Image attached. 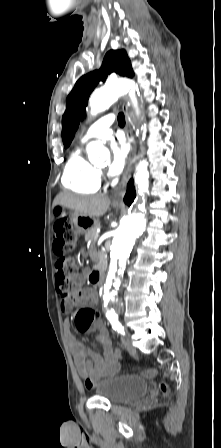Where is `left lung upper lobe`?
Here are the masks:
<instances>
[{"label":"left lung upper lobe","instance_id":"1","mask_svg":"<svg viewBox=\"0 0 221 448\" xmlns=\"http://www.w3.org/2000/svg\"><path fill=\"white\" fill-rule=\"evenodd\" d=\"M116 72L122 76L133 77L129 58L125 50L109 51L104 57L102 67L82 76L75 84L73 90L67 97L66 111L62 117V139L67 148L78 128L80 120L85 114L90 93L99 81H105L108 74Z\"/></svg>","mask_w":221,"mask_h":448}]
</instances>
